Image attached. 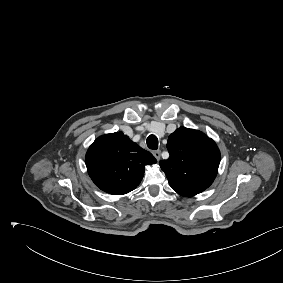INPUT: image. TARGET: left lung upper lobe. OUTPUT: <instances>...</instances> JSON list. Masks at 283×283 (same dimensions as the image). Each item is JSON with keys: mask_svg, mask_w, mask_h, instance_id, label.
Segmentation results:
<instances>
[{"mask_svg": "<svg viewBox=\"0 0 283 283\" xmlns=\"http://www.w3.org/2000/svg\"><path fill=\"white\" fill-rule=\"evenodd\" d=\"M169 158L159 162L170 186L183 197H192L214 181L220 151L206 134L185 127L173 132L167 143Z\"/></svg>", "mask_w": 283, "mask_h": 283, "instance_id": "left-lung-upper-lobe-1", "label": "left lung upper lobe"}]
</instances>
